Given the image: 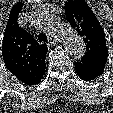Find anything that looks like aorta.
Segmentation results:
<instances>
[{
  "label": "aorta",
  "instance_id": "aorta-1",
  "mask_svg": "<svg viewBox=\"0 0 113 113\" xmlns=\"http://www.w3.org/2000/svg\"><path fill=\"white\" fill-rule=\"evenodd\" d=\"M42 20L48 31L61 39L67 52L74 58H81L85 54L83 39L69 24L51 14L44 15Z\"/></svg>",
  "mask_w": 113,
  "mask_h": 113
}]
</instances>
